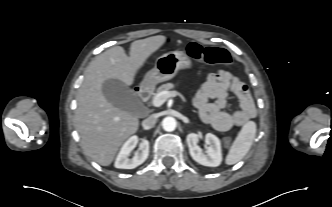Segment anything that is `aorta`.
Segmentation results:
<instances>
[{
  "label": "aorta",
  "mask_w": 332,
  "mask_h": 207,
  "mask_svg": "<svg viewBox=\"0 0 332 207\" xmlns=\"http://www.w3.org/2000/svg\"><path fill=\"white\" fill-rule=\"evenodd\" d=\"M177 122L174 117L167 116L162 120V127L165 131L171 132L176 129Z\"/></svg>",
  "instance_id": "1"
}]
</instances>
